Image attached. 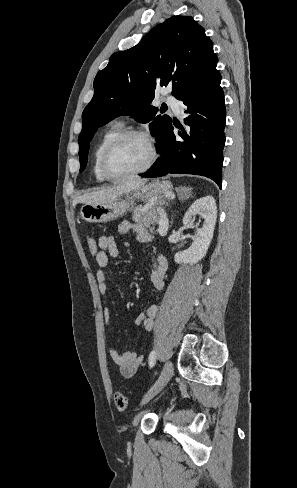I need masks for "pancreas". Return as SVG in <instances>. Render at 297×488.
Masks as SVG:
<instances>
[{
  "label": "pancreas",
  "instance_id": "obj_1",
  "mask_svg": "<svg viewBox=\"0 0 297 488\" xmlns=\"http://www.w3.org/2000/svg\"><path fill=\"white\" fill-rule=\"evenodd\" d=\"M158 210L154 205H148L147 207H137L132 214V220L136 223H143L145 226L150 227L159 222Z\"/></svg>",
  "mask_w": 297,
  "mask_h": 488
}]
</instances>
